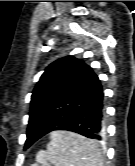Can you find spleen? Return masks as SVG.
<instances>
[{
    "label": "spleen",
    "instance_id": "spleen-1",
    "mask_svg": "<svg viewBox=\"0 0 135 166\" xmlns=\"http://www.w3.org/2000/svg\"><path fill=\"white\" fill-rule=\"evenodd\" d=\"M50 138L47 149L37 153V164L32 166H103L95 141L67 131H54Z\"/></svg>",
    "mask_w": 135,
    "mask_h": 166
}]
</instances>
